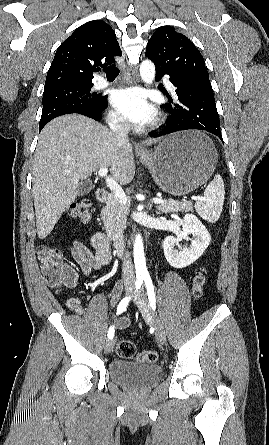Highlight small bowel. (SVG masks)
Wrapping results in <instances>:
<instances>
[{"label": "small bowel", "mask_w": 269, "mask_h": 445, "mask_svg": "<svg viewBox=\"0 0 269 445\" xmlns=\"http://www.w3.org/2000/svg\"><path fill=\"white\" fill-rule=\"evenodd\" d=\"M69 255L77 263L82 270L83 274L88 277L94 270H99L102 267L108 265L111 261V251L109 247V241L107 237L101 233H95L91 238V247L80 242H73L68 248ZM66 271L69 276L76 281L75 271L66 265ZM123 284L121 281L117 282L112 289L111 307L112 312L117 305L119 297L121 295ZM67 307L78 315L84 313V307L78 298H68L66 300ZM130 323L129 317H123L118 321L120 328L128 327Z\"/></svg>", "instance_id": "small-bowel-1"}]
</instances>
